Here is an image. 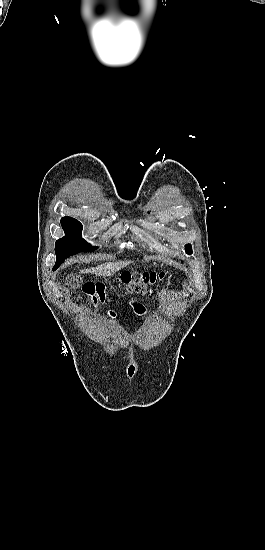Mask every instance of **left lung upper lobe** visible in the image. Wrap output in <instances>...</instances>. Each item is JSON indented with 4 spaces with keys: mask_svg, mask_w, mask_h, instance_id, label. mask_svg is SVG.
Here are the masks:
<instances>
[{
    "mask_svg": "<svg viewBox=\"0 0 265 550\" xmlns=\"http://www.w3.org/2000/svg\"><path fill=\"white\" fill-rule=\"evenodd\" d=\"M185 250H186V253H187V254H191V253H192V247H191V245H190V244H187V245L185 246Z\"/></svg>",
    "mask_w": 265,
    "mask_h": 550,
    "instance_id": "1",
    "label": "left lung upper lobe"
}]
</instances>
